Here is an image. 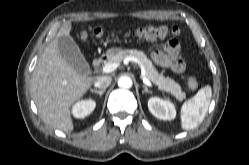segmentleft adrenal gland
Wrapping results in <instances>:
<instances>
[{"instance_id": "left-adrenal-gland-1", "label": "left adrenal gland", "mask_w": 249, "mask_h": 165, "mask_svg": "<svg viewBox=\"0 0 249 165\" xmlns=\"http://www.w3.org/2000/svg\"><path fill=\"white\" fill-rule=\"evenodd\" d=\"M143 88H144L143 93H145V92L151 93V91L147 88L146 85H143Z\"/></svg>"}]
</instances>
